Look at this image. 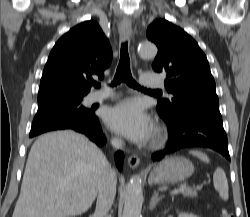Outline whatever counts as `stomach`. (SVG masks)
Returning a JSON list of instances; mask_svg holds the SVG:
<instances>
[{"mask_svg":"<svg viewBox=\"0 0 250 217\" xmlns=\"http://www.w3.org/2000/svg\"><path fill=\"white\" fill-rule=\"evenodd\" d=\"M194 173L192 162L182 157H169L154 167L149 180L156 184H174L188 179Z\"/></svg>","mask_w":250,"mask_h":217,"instance_id":"1","label":"stomach"}]
</instances>
